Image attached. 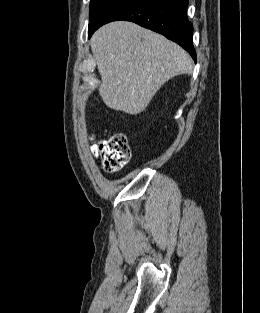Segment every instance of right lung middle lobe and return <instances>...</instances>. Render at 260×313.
<instances>
[{
    "instance_id": "1",
    "label": "right lung middle lobe",
    "mask_w": 260,
    "mask_h": 313,
    "mask_svg": "<svg viewBox=\"0 0 260 313\" xmlns=\"http://www.w3.org/2000/svg\"><path fill=\"white\" fill-rule=\"evenodd\" d=\"M117 1L118 0H91L88 31L98 23L105 12Z\"/></svg>"
}]
</instances>
